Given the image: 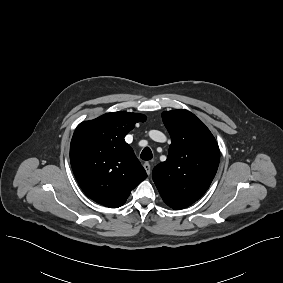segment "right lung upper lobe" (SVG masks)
<instances>
[{"mask_svg": "<svg viewBox=\"0 0 283 283\" xmlns=\"http://www.w3.org/2000/svg\"><path fill=\"white\" fill-rule=\"evenodd\" d=\"M146 116L114 112L80 123L70 144V162L85 194L109 208L123 205L146 171L124 137Z\"/></svg>", "mask_w": 283, "mask_h": 283, "instance_id": "cb5924a9", "label": "right lung upper lobe"}]
</instances>
